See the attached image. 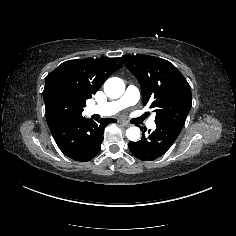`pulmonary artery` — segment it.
<instances>
[{
    "label": "pulmonary artery",
    "mask_w": 236,
    "mask_h": 236,
    "mask_svg": "<svg viewBox=\"0 0 236 236\" xmlns=\"http://www.w3.org/2000/svg\"><path fill=\"white\" fill-rule=\"evenodd\" d=\"M140 99V93L134 86H129L123 96L112 102L102 104H89L86 111L89 114H99L101 116H113L126 107L133 106ZM149 128H154L153 120L148 124Z\"/></svg>",
    "instance_id": "obj_1"
}]
</instances>
